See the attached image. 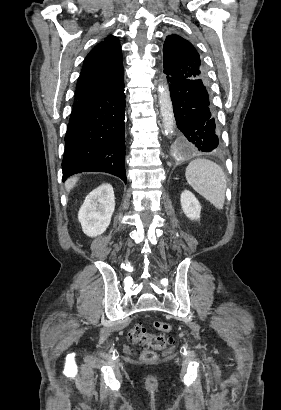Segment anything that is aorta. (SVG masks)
I'll use <instances>...</instances> for the list:
<instances>
[{
  "label": "aorta",
  "mask_w": 281,
  "mask_h": 410,
  "mask_svg": "<svg viewBox=\"0 0 281 410\" xmlns=\"http://www.w3.org/2000/svg\"><path fill=\"white\" fill-rule=\"evenodd\" d=\"M158 99L163 128L167 135L174 132V113L168 85L162 83L158 87Z\"/></svg>",
  "instance_id": "762f6f07"
}]
</instances>
